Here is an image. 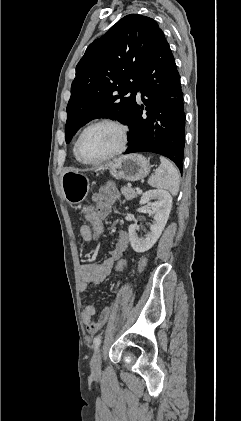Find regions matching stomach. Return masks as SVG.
<instances>
[{
	"mask_svg": "<svg viewBox=\"0 0 241 421\" xmlns=\"http://www.w3.org/2000/svg\"><path fill=\"white\" fill-rule=\"evenodd\" d=\"M149 161L140 154L123 155L108 163L110 174L127 181H138L150 172ZM61 187L65 200L70 204H79L89 191V178L76 169L66 170L61 177Z\"/></svg>",
	"mask_w": 241,
	"mask_h": 421,
	"instance_id": "obj_1",
	"label": "stomach"
}]
</instances>
